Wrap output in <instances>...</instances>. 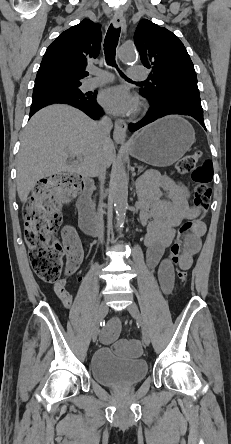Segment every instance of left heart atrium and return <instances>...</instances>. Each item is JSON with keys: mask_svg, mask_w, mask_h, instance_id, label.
<instances>
[{"mask_svg": "<svg viewBox=\"0 0 231 444\" xmlns=\"http://www.w3.org/2000/svg\"><path fill=\"white\" fill-rule=\"evenodd\" d=\"M100 104L113 114L126 115L137 106L136 99L123 86H115L103 90L99 96Z\"/></svg>", "mask_w": 231, "mask_h": 444, "instance_id": "1", "label": "left heart atrium"}]
</instances>
